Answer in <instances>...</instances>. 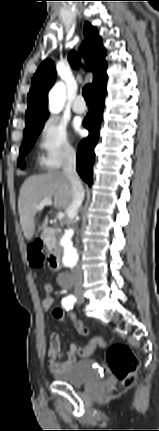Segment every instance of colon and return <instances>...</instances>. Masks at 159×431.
<instances>
[{"label":"colon","instance_id":"colon-1","mask_svg":"<svg viewBox=\"0 0 159 431\" xmlns=\"http://www.w3.org/2000/svg\"><path fill=\"white\" fill-rule=\"evenodd\" d=\"M29 261L33 267H41L44 261V255L41 252L40 245L36 244L29 250ZM46 307L52 309L55 305V298L49 295L46 300ZM53 319L58 324L74 323L75 319L80 318V313L74 309L65 310L63 306H58L52 311ZM80 334L86 336L89 334L87 327L79 325ZM77 349L78 358L80 360H88L96 349L102 350L105 343L99 336H92L90 342L79 344ZM107 364L113 376L124 386H131L135 381L136 371L139 367V360L132 349L126 344L115 343L107 348L106 352Z\"/></svg>","mask_w":159,"mask_h":431}]
</instances>
